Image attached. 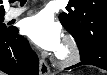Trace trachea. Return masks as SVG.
<instances>
[{
    "label": "trachea",
    "instance_id": "1",
    "mask_svg": "<svg viewBox=\"0 0 107 75\" xmlns=\"http://www.w3.org/2000/svg\"><path fill=\"white\" fill-rule=\"evenodd\" d=\"M19 1H20V3H22V4L26 2V0H19Z\"/></svg>",
    "mask_w": 107,
    "mask_h": 75
}]
</instances>
